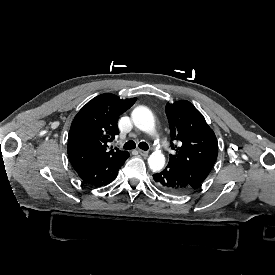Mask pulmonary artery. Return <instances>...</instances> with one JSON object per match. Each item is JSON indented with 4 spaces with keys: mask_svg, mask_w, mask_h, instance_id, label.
Wrapping results in <instances>:
<instances>
[{
    "mask_svg": "<svg viewBox=\"0 0 275 275\" xmlns=\"http://www.w3.org/2000/svg\"><path fill=\"white\" fill-rule=\"evenodd\" d=\"M152 136H153V138H155V139L160 138V136H161L160 130H158V129L153 130Z\"/></svg>",
    "mask_w": 275,
    "mask_h": 275,
    "instance_id": "obj_1",
    "label": "pulmonary artery"
}]
</instances>
